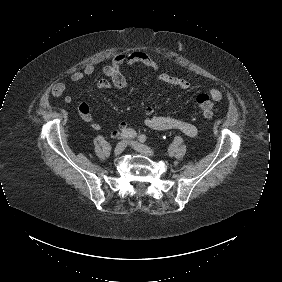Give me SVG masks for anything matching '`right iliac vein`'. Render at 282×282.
I'll use <instances>...</instances> for the list:
<instances>
[{"instance_id": "obj_1", "label": "right iliac vein", "mask_w": 282, "mask_h": 282, "mask_svg": "<svg viewBox=\"0 0 282 282\" xmlns=\"http://www.w3.org/2000/svg\"><path fill=\"white\" fill-rule=\"evenodd\" d=\"M127 146V142L126 141H121L119 142L116 147H115V150H114V154L117 156V155H120L126 148Z\"/></svg>"}]
</instances>
